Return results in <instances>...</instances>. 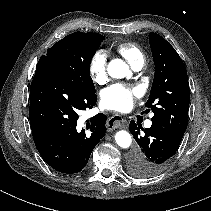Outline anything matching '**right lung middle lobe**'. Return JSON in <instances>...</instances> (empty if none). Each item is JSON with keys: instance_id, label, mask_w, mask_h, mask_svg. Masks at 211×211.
I'll return each mask as SVG.
<instances>
[{"instance_id": "1", "label": "right lung middle lobe", "mask_w": 211, "mask_h": 211, "mask_svg": "<svg viewBox=\"0 0 211 211\" xmlns=\"http://www.w3.org/2000/svg\"><path fill=\"white\" fill-rule=\"evenodd\" d=\"M104 37L96 33L74 32L64 37L40 57L37 68H48L68 77L85 92L94 94L90 63Z\"/></svg>"}]
</instances>
